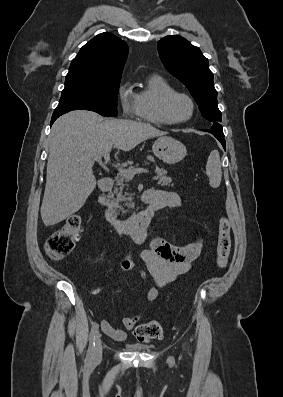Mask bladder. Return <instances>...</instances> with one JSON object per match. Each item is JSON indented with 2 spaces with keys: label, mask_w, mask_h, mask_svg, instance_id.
Segmentation results:
<instances>
[{
  "label": "bladder",
  "mask_w": 283,
  "mask_h": 397,
  "mask_svg": "<svg viewBox=\"0 0 283 397\" xmlns=\"http://www.w3.org/2000/svg\"><path fill=\"white\" fill-rule=\"evenodd\" d=\"M130 348L135 349V350H146V349H149L150 346L143 345V344H133V345H130Z\"/></svg>",
  "instance_id": "bladder-1"
}]
</instances>
